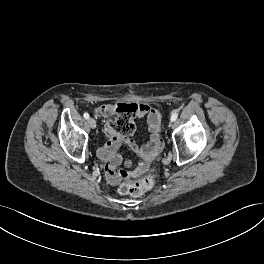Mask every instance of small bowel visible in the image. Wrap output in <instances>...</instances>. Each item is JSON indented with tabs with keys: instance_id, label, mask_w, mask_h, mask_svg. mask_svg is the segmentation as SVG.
<instances>
[{
	"instance_id": "c3829d8e",
	"label": "small bowel",
	"mask_w": 264,
	"mask_h": 264,
	"mask_svg": "<svg viewBox=\"0 0 264 264\" xmlns=\"http://www.w3.org/2000/svg\"><path fill=\"white\" fill-rule=\"evenodd\" d=\"M139 118H146L150 139L147 143L140 145L135 140L125 137L124 135L114 133L109 125H106V132L110 136L109 140L98 151V156L106 163L105 171L107 181L111 185H116L120 181V176L124 171H118L117 167L123 162L120 152L122 145H128L135 154L144 162L152 160L162 149L163 142L160 138L161 112L149 106L148 104H136ZM144 169V165H140L138 172Z\"/></svg>"
}]
</instances>
